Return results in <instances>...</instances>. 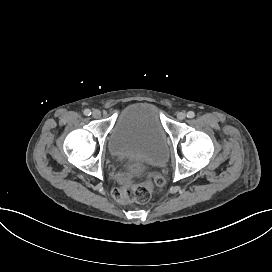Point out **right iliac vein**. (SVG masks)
<instances>
[{"label":"right iliac vein","instance_id":"1","mask_svg":"<svg viewBox=\"0 0 272 272\" xmlns=\"http://www.w3.org/2000/svg\"><path fill=\"white\" fill-rule=\"evenodd\" d=\"M92 116L94 117V118H99L100 116H101V112L99 111V110H94L93 112H92Z\"/></svg>","mask_w":272,"mask_h":272}]
</instances>
